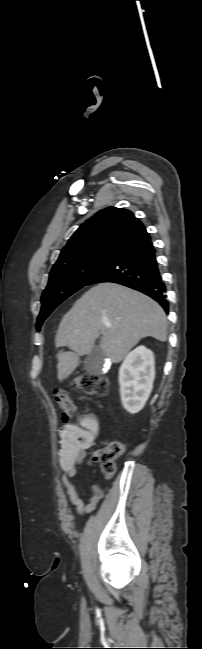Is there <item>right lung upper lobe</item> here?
I'll list each match as a JSON object with an SVG mask.
<instances>
[{
  "label": "right lung upper lobe",
  "mask_w": 202,
  "mask_h": 649,
  "mask_svg": "<svg viewBox=\"0 0 202 649\" xmlns=\"http://www.w3.org/2000/svg\"><path fill=\"white\" fill-rule=\"evenodd\" d=\"M147 235L144 225L131 211L108 207L78 228L62 249L57 261L90 251L117 254Z\"/></svg>",
  "instance_id": "obj_1"
}]
</instances>
